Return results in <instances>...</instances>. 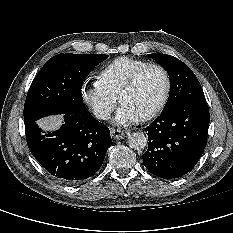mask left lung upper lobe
<instances>
[{
	"mask_svg": "<svg viewBox=\"0 0 233 233\" xmlns=\"http://www.w3.org/2000/svg\"><path fill=\"white\" fill-rule=\"evenodd\" d=\"M168 72L170 94L163 111L184 103H206L201 85L192 70L167 54H148Z\"/></svg>",
	"mask_w": 233,
	"mask_h": 233,
	"instance_id": "left-lung-upper-lobe-1",
	"label": "left lung upper lobe"
}]
</instances>
